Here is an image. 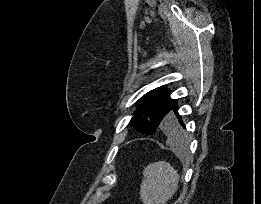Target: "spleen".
I'll return each mask as SVG.
<instances>
[{
  "instance_id": "spleen-1",
  "label": "spleen",
  "mask_w": 261,
  "mask_h": 204,
  "mask_svg": "<svg viewBox=\"0 0 261 204\" xmlns=\"http://www.w3.org/2000/svg\"><path fill=\"white\" fill-rule=\"evenodd\" d=\"M180 151L187 150L184 137L174 140ZM178 172L166 161L150 163L143 170L140 198L144 204H165L178 188Z\"/></svg>"
}]
</instances>
